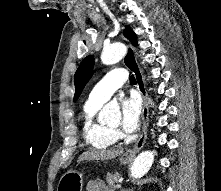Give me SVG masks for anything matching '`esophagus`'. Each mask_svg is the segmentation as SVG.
Segmentation results:
<instances>
[{
  "label": "esophagus",
  "mask_w": 221,
  "mask_h": 191,
  "mask_svg": "<svg viewBox=\"0 0 221 191\" xmlns=\"http://www.w3.org/2000/svg\"><path fill=\"white\" fill-rule=\"evenodd\" d=\"M127 55L125 57V64L133 71L137 81V88L143 99L142 107V131L133 148L127 152L128 156H135L144 146L147 138V131L149 125V97L147 94L142 71L137 62L135 51L131 45L127 46Z\"/></svg>",
  "instance_id": "obj_1"
}]
</instances>
